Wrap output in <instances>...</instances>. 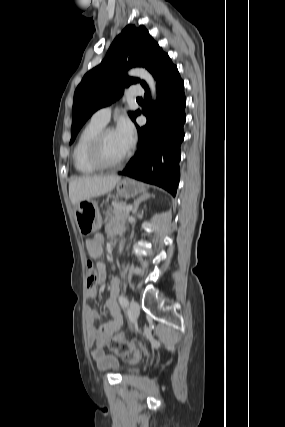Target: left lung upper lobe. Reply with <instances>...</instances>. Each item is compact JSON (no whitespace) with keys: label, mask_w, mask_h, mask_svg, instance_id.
I'll return each instance as SVG.
<instances>
[{"label":"left lung upper lobe","mask_w":285,"mask_h":427,"mask_svg":"<svg viewBox=\"0 0 285 427\" xmlns=\"http://www.w3.org/2000/svg\"><path fill=\"white\" fill-rule=\"evenodd\" d=\"M166 55L144 26H126L112 42L104 60L83 77L75 91L70 144L88 118L119 98L124 87L138 82L146 86L144 81L126 75L129 68L142 66L154 75ZM137 112H129L132 120Z\"/></svg>","instance_id":"1"}]
</instances>
